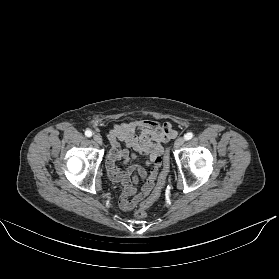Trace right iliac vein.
Wrapping results in <instances>:
<instances>
[{
	"label": "right iliac vein",
	"instance_id": "1",
	"mask_svg": "<svg viewBox=\"0 0 279 279\" xmlns=\"http://www.w3.org/2000/svg\"><path fill=\"white\" fill-rule=\"evenodd\" d=\"M93 139L96 143H98L99 145H102L103 144V140H102V137L100 135H94L93 136Z\"/></svg>",
	"mask_w": 279,
	"mask_h": 279
}]
</instances>
